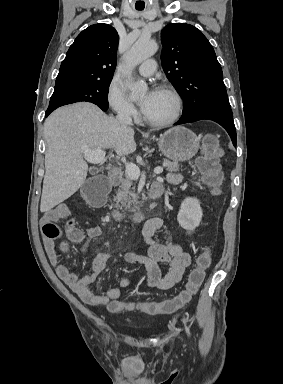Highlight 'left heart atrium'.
<instances>
[{
    "instance_id": "1",
    "label": "left heart atrium",
    "mask_w": 283,
    "mask_h": 384,
    "mask_svg": "<svg viewBox=\"0 0 283 384\" xmlns=\"http://www.w3.org/2000/svg\"><path fill=\"white\" fill-rule=\"evenodd\" d=\"M156 92H157L156 89H152V90H149V91L143 96V98H142L141 101L139 102V105H140V108H141L142 111L147 110V108H148L149 104L151 103L152 99L154 98Z\"/></svg>"
}]
</instances>
